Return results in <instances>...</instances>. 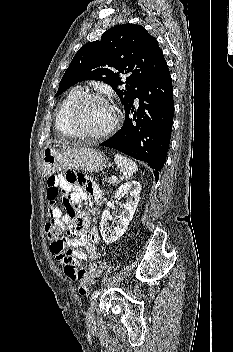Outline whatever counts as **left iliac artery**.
<instances>
[{"label": "left iliac artery", "instance_id": "1", "mask_svg": "<svg viewBox=\"0 0 233 352\" xmlns=\"http://www.w3.org/2000/svg\"><path fill=\"white\" fill-rule=\"evenodd\" d=\"M99 291H94L91 295V300L96 299L98 297Z\"/></svg>", "mask_w": 233, "mask_h": 352}]
</instances>
